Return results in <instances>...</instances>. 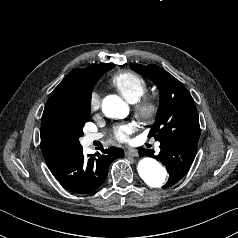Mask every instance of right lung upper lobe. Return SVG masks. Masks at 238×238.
Returning a JSON list of instances; mask_svg holds the SVG:
<instances>
[{
	"label": "right lung upper lobe",
	"instance_id": "obj_1",
	"mask_svg": "<svg viewBox=\"0 0 238 238\" xmlns=\"http://www.w3.org/2000/svg\"><path fill=\"white\" fill-rule=\"evenodd\" d=\"M102 65L73 69L50 94L42 115L40 132L41 150L49 168L65 160L81 146L57 133L51 125L52 117L56 112L65 108L71 97L77 93V83L90 76Z\"/></svg>",
	"mask_w": 238,
	"mask_h": 238
}]
</instances>
